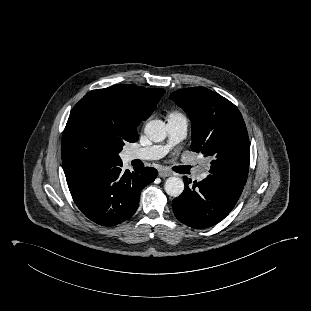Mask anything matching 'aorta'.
Wrapping results in <instances>:
<instances>
[{
  "label": "aorta",
  "mask_w": 311,
  "mask_h": 311,
  "mask_svg": "<svg viewBox=\"0 0 311 311\" xmlns=\"http://www.w3.org/2000/svg\"><path fill=\"white\" fill-rule=\"evenodd\" d=\"M145 135L153 142H161L167 136V128L162 120H151L144 128ZM164 189L166 193L173 197H178L184 190V182L179 177H169L165 181Z\"/></svg>",
  "instance_id": "obj_1"
}]
</instances>
